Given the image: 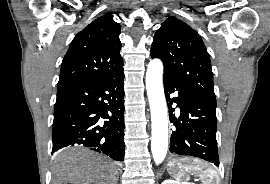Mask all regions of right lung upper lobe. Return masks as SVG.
Here are the masks:
<instances>
[{
	"label": "right lung upper lobe",
	"mask_w": 270,
	"mask_h": 184,
	"mask_svg": "<svg viewBox=\"0 0 270 184\" xmlns=\"http://www.w3.org/2000/svg\"><path fill=\"white\" fill-rule=\"evenodd\" d=\"M120 24L105 14L79 32L63 58L57 89L105 79L123 70Z\"/></svg>",
	"instance_id": "obj_1"
}]
</instances>
